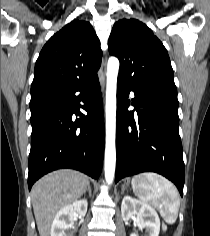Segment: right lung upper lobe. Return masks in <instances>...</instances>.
I'll return each mask as SVG.
<instances>
[{"label":"right lung upper lobe","mask_w":210,"mask_h":236,"mask_svg":"<svg viewBox=\"0 0 210 236\" xmlns=\"http://www.w3.org/2000/svg\"><path fill=\"white\" fill-rule=\"evenodd\" d=\"M101 57L100 41L90 23L73 20L42 48L31 93L44 88L63 92L88 81L100 68Z\"/></svg>","instance_id":"right-lung-upper-lobe-1"}]
</instances>
